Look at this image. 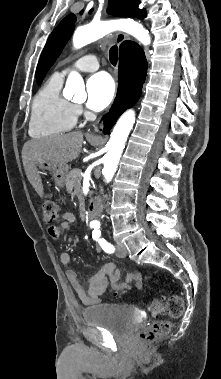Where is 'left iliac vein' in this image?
I'll use <instances>...</instances> for the list:
<instances>
[{
	"mask_svg": "<svg viewBox=\"0 0 221 379\" xmlns=\"http://www.w3.org/2000/svg\"><path fill=\"white\" fill-rule=\"evenodd\" d=\"M116 255L118 257H125L127 255V250L125 246L120 242H118L116 245Z\"/></svg>",
	"mask_w": 221,
	"mask_h": 379,
	"instance_id": "left-iliac-vein-1",
	"label": "left iliac vein"
}]
</instances>
